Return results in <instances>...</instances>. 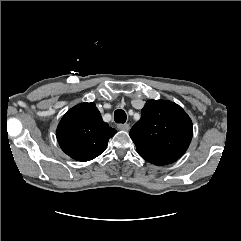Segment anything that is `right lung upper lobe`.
<instances>
[{
	"instance_id": "1",
	"label": "right lung upper lobe",
	"mask_w": 241,
	"mask_h": 241,
	"mask_svg": "<svg viewBox=\"0 0 241 241\" xmlns=\"http://www.w3.org/2000/svg\"><path fill=\"white\" fill-rule=\"evenodd\" d=\"M116 130L102 120L94 103L71 108L61 119L56 135L61 149L77 161H89L107 147Z\"/></svg>"
}]
</instances>
